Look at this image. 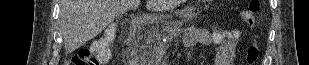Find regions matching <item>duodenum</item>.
<instances>
[{
	"label": "duodenum",
	"mask_w": 309,
	"mask_h": 65,
	"mask_svg": "<svg viewBox=\"0 0 309 65\" xmlns=\"http://www.w3.org/2000/svg\"><path fill=\"white\" fill-rule=\"evenodd\" d=\"M152 22L151 18L149 16H141L136 19H134L130 25V34L135 35L138 33L142 28L147 26Z\"/></svg>",
	"instance_id": "obj_1"
}]
</instances>
